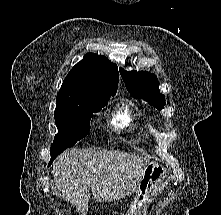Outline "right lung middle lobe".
Returning a JSON list of instances; mask_svg holds the SVG:
<instances>
[{"label": "right lung middle lobe", "mask_w": 221, "mask_h": 215, "mask_svg": "<svg viewBox=\"0 0 221 215\" xmlns=\"http://www.w3.org/2000/svg\"><path fill=\"white\" fill-rule=\"evenodd\" d=\"M109 99L88 102L78 105L56 106L55 123L58 134L55 135L51 146V162L65 149L75 145L90 131V119L93 113L107 105Z\"/></svg>", "instance_id": "obj_1"}]
</instances>
